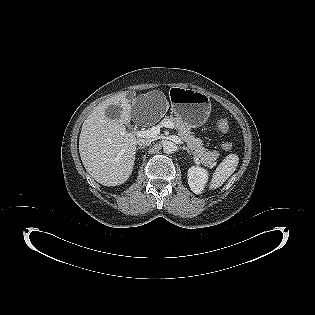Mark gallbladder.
Returning <instances> with one entry per match:
<instances>
[{
	"label": "gallbladder",
	"instance_id": "gallbladder-1",
	"mask_svg": "<svg viewBox=\"0 0 315 315\" xmlns=\"http://www.w3.org/2000/svg\"><path fill=\"white\" fill-rule=\"evenodd\" d=\"M120 110L121 108L119 106L115 105H110L106 110H105V115L109 119H114L118 120L120 118Z\"/></svg>",
	"mask_w": 315,
	"mask_h": 315
}]
</instances>
